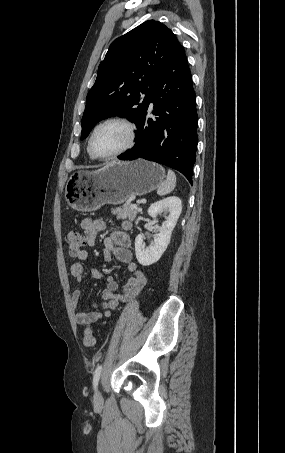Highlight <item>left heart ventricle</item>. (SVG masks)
I'll return each mask as SVG.
<instances>
[{
	"label": "left heart ventricle",
	"instance_id": "1",
	"mask_svg": "<svg viewBox=\"0 0 285 453\" xmlns=\"http://www.w3.org/2000/svg\"><path fill=\"white\" fill-rule=\"evenodd\" d=\"M128 139V129L124 125L108 123L97 130L93 139V148L99 155H109L124 147Z\"/></svg>",
	"mask_w": 285,
	"mask_h": 453
}]
</instances>
